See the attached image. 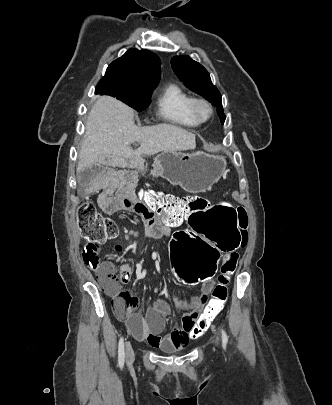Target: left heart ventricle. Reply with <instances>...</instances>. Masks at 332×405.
<instances>
[{"mask_svg":"<svg viewBox=\"0 0 332 405\" xmlns=\"http://www.w3.org/2000/svg\"><path fill=\"white\" fill-rule=\"evenodd\" d=\"M200 113H201L202 115H207V113H208L207 108L204 107V106H201V107H200Z\"/></svg>","mask_w":332,"mask_h":405,"instance_id":"left-heart-ventricle-1","label":"left heart ventricle"}]
</instances>
